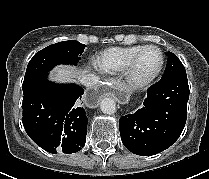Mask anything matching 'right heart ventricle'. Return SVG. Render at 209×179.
<instances>
[{
	"mask_svg": "<svg viewBox=\"0 0 209 179\" xmlns=\"http://www.w3.org/2000/svg\"><path fill=\"white\" fill-rule=\"evenodd\" d=\"M143 47L144 45H131L105 49L96 57L95 65L102 73L119 74L124 71L131 58Z\"/></svg>",
	"mask_w": 209,
	"mask_h": 179,
	"instance_id": "e07e8e85",
	"label": "right heart ventricle"
}]
</instances>
